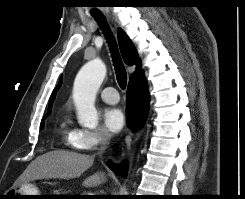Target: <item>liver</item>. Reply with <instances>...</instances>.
Masks as SVG:
<instances>
[{
    "label": "liver",
    "instance_id": "liver-1",
    "mask_svg": "<svg viewBox=\"0 0 245 199\" xmlns=\"http://www.w3.org/2000/svg\"><path fill=\"white\" fill-rule=\"evenodd\" d=\"M94 162L93 156L54 150L38 156L27 168L20 182L38 179H73L81 176ZM103 172H97L83 181L85 187H95L105 182Z\"/></svg>",
    "mask_w": 245,
    "mask_h": 199
}]
</instances>
